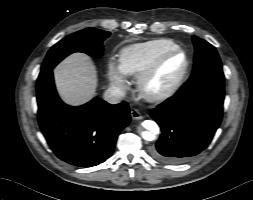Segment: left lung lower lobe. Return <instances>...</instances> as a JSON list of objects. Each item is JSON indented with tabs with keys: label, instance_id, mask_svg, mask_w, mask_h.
<instances>
[{
	"label": "left lung lower lobe",
	"instance_id": "obj_1",
	"mask_svg": "<svg viewBox=\"0 0 253 200\" xmlns=\"http://www.w3.org/2000/svg\"><path fill=\"white\" fill-rule=\"evenodd\" d=\"M223 101L224 82L205 80L187 91L181 87L150 113L162 132L151 155L177 164L203 151L221 123Z\"/></svg>",
	"mask_w": 253,
	"mask_h": 200
}]
</instances>
